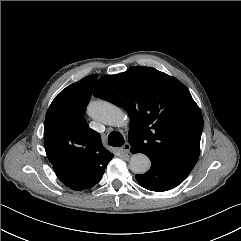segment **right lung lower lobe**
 <instances>
[{
	"label": "right lung lower lobe",
	"mask_w": 241,
	"mask_h": 241,
	"mask_svg": "<svg viewBox=\"0 0 241 241\" xmlns=\"http://www.w3.org/2000/svg\"><path fill=\"white\" fill-rule=\"evenodd\" d=\"M105 167L63 163L53 165V169L67 187L83 190L93 187L103 176Z\"/></svg>",
	"instance_id": "right-lung-lower-lobe-1"
}]
</instances>
